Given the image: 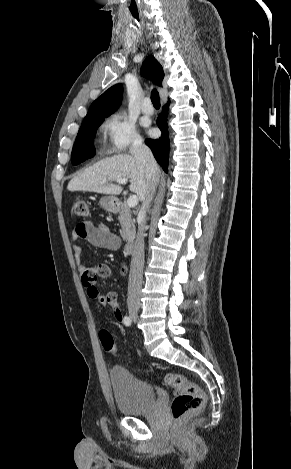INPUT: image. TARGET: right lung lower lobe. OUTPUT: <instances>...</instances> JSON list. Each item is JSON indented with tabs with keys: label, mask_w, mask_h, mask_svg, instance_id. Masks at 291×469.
I'll use <instances>...</instances> for the list:
<instances>
[{
	"label": "right lung lower lobe",
	"mask_w": 291,
	"mask_h": 469,
	"mask_svg": "<svg viewBox=\"0 0 291 469\" xmlns=\"http://www.w3.org/2000/svg\"><path fill=\"white\" fill-rule=\"evenodd\" d=\"M164 111L157 118V125L163 132V135L156 140L146 139L145 144L152 150L157 162L165 172L168 171L169 138L167 131V113L169 110V101L163 107Z\"/></svg>",
	"instance_id": "98d812e1"
}]
</instances>
